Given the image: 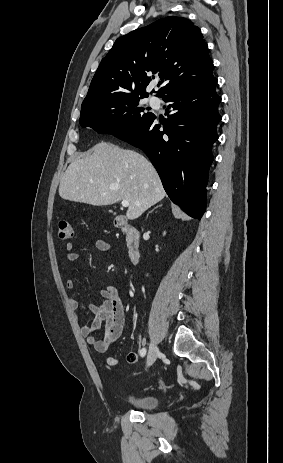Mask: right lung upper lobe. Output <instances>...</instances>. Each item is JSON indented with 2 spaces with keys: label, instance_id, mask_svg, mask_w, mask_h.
I'll return each instance as SVG.
<instances>
[{
  "label": "right lung upper lobe",
  "instance_id": "right-lung-upper-lobe-1",
  "mask_svg": "<svg viewBox=\"0 0 283 463\" xmlns=\"http://www.w3.org/2000/svg\"><path fill=\"white\" fill-rule=\"evenodd\" d=\"M212 68L201 30L186 18L169 16L116 40L82 105L116 95L147 97L146 87L156 74L165 83L157 92L163 97L207 81L213 77Z\"/></svg>",
  "mask_w": 283,
  "mask_h": 463
}]
</instances>
